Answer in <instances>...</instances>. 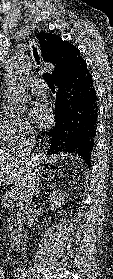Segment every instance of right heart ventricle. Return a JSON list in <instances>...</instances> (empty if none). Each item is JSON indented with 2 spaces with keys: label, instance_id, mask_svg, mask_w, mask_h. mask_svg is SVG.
<instances>
[{
  "label": "right heart ventricle",
  "instance_id": "obj_1",
  "mask_svg": "<svg viewBox=\"0 0 113 279\" xmlns=\"http://www.w3.org/2000/svg\"><path fill=\"white\" fill-rule=\"evenodd\" d=\"M12 118L7 116L0 108V147L11 144L13 141L11 134Z\"/></svg>",
  "mask_w": 113,
  "mask_h": 279
}]
</instances>
